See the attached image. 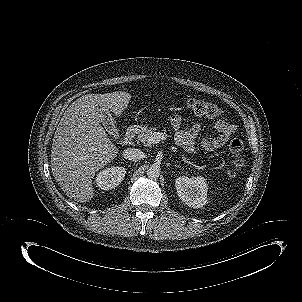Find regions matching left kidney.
Instances as JSON below:
<instances>
[{"mask_svg": "<svg viewBox=\"0 0 302 302\" xmlns=\"http://www.w3.org/2000/svg\"><path fill=\"white\" fill-rule=\"evenodd\" d=\"M175 187L179 198L187 206L202 208L207 202L208 185L202 176H180L176 178Z\"/></svg>", "mask_w": 302, "mask_h": 302, "instance_id": "1", "label": "left kidney"}]
</instances>
